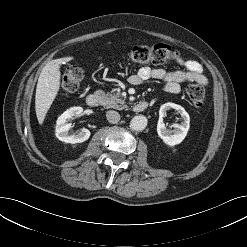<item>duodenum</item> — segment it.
<instances>
[{
    "label": "duodenum",
    "mask_w": 247,
    "mask_h": 247,
    "mask_svg": "<svg viewBox=\"0 0 247 247\" xmlns=\"http://www.w3.org/2000/svg\"><path fill=\"white\" fill-rule=\"evenodd\" d=\"M85 101H86L87 106L96 107V106H98V104L100 102V98L97 94H89L86 97ZM147 108H148V102H146V101H141V102H138L134 105V110L136 112H143Z\"/></svg>",
    "instance_id": "duodenum-1"
}]
</instances>
